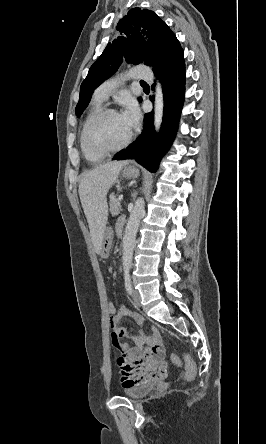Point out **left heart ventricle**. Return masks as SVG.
<instances>
[{"label": "left heart ventricle", "mask_w": 266, "mask_h": 444, "mask_svg": "<svg viewBox=\"0 0 266 444\" xmlns=\"http://www.w3.org/2000/svg\"><path fill=\"white\" fill-rule=\"evenodd\" d=\"M130 132L121 114H109L94 126L90 140L98 149L114 148L122 144Z\"/></svg>", "instance_id": "left-heart-ventricle-1"}]
</instances>
